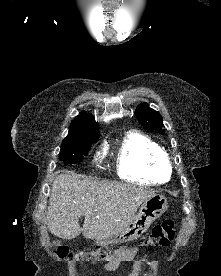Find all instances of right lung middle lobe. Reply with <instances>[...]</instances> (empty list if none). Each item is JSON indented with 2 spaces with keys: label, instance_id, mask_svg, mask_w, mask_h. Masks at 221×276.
<instances>
[{
  "label": "right lung middle lobe",
  "instance_id": "1",
  "mask_svg": "<svg viewBox=\"0 0 221 276\" xmlns=\"http://www.w3.org/2000/svg\"><path fill=\"white\" fill-rule=\"evenodd\" d=\"M95 142H97V140L62 142L59 155L60 161L66 165L80 163Z\"/></svg>",
  "mask_w": 221,
  "mask_h": 276
}]
</instances>
